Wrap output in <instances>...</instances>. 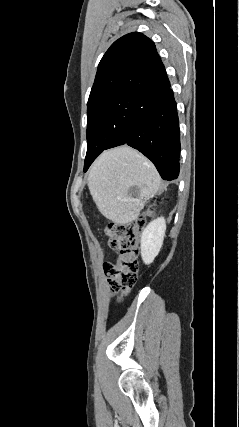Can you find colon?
Segmentation results:
<instances>
[{
    "mask_svg": "<svg viewBox=\"0 0 239 427\" xmlns=\"http://www.w3.org/2000/svg\"><path fill=\"white\" fill-rule=\"evenodd\" d=\"M145 225L140 216L128 223H109L105 235L110 246L118 252L116 261L103 264V271L113 293L126 295L137 280L138 237Z\"/></svg>",
    "mask_w": 239,
    "mask_h": 427,
    "instance_id": "obj_1",
    "label": "colon"
}]
</instances>
